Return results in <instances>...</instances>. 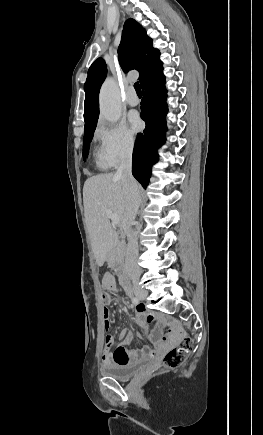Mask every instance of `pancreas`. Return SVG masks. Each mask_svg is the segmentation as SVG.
I'll use <instances>...</instances> for the list:
<instances>
[{
  "mask_svg": "<svg viewBox=\"0 0 263 435\" xmlns=\"http://www.w3.org/2000/svg\"><path fill=\"white\" fill-rule=\"evenodd\" d=\"M108 261L116 269L117 272H120L123 269L124 247L121 243L118 242L116 244V246L109 255Z\"/></svg>",
  "mask_w": 263,
  "mask_h": 435,
  "instance_id": "1",
  "label": "pancreas"
}]
</instances>
